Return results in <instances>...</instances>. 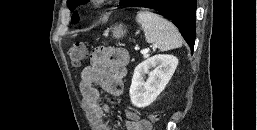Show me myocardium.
<instances>
[{
	"label": "myocardium",
	"mask_w": 257,
	"mask_h": 130,
	"mask_svg": "<svg viewBox=\"0 0 257 130\" xmlns=\"http://www.w3.org/2000/svg\"><path fill=\"white\" fill-rule=\"evenodd\" d=\"M110 0H89V5L93 9H100L105 6Z\"/></svg>",
	"instance_id": "myocardium-1"
}]
</instances>
